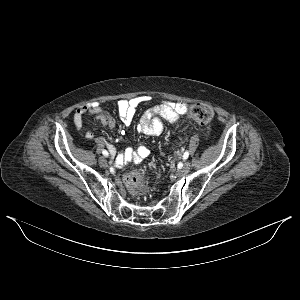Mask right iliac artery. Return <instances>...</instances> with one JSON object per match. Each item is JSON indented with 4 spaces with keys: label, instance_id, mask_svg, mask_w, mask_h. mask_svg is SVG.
<instances>
[{
    "label": "right iliac artery",
    "instance_id": "1",
    "mask_svg": "<svg viewBox=\"0 0 300 300\" xmlns=\"http://www.w3.org/2000/svg\"><path fill=\"white\" fill-rule=\"evenodd\" d=\"M102 154H103L105 157H107V156L109 155V153H108L106 150H103V151H102Z\"/></svg>",
    "mask_w": 300,
    "mask_h": 300
}]
</instances>
